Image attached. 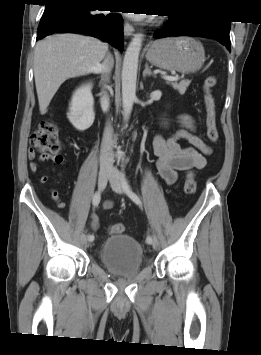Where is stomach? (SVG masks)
Listing matches in <instances>:
<instances>
[{
  "label": "stomach",
  "mask_w": 261,
  "mask_h": 355,
  "mask_svg": "<svg viewBox=\"0 0 261 355\" xmlns=\"http://www.w3.org/2000/svg\"><path fill=\"white\" fill-rule=\"evenodd\" d=\"M146 59L160 69L193 73L204 64L205 51L203 45L191 37H170L154 41Z\"/></svg>",
  "instance_id": "stomach-1"
}]
</instances>
